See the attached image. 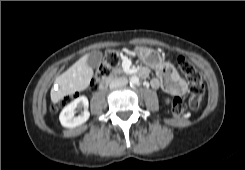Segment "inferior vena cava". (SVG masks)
Returning <instances> with one entry per match:
<instances>
[{"label": "inferior vena cava", "instance_id": "602c4592", "mask_svg": "<svg viewBox=\"0 0 245 170\" xmlns=\"http://www.w3.org/2000/svg\"><path fill=\"white\" fill-rule=\"evenodd\" d=\"M128 83V80L126 77H120V78H117V79H114L110 82V85L109 87L111 89H114V88H117V87H120V86H124Z\"/></svg>", "mask_w": 245, "mask_h": 170}]
</instances>
